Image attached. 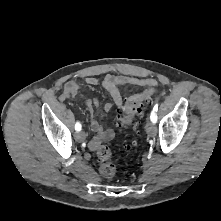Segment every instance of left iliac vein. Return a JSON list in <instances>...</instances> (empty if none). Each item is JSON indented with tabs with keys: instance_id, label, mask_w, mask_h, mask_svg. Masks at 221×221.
I'll return each instance as SVG.
<instances>
[{
	"instance_id": "1",
	"label": "left iliac vein",
	"mask_w": 221,
	"mask_h": 221,
	"mask_svg": "<svg viewBox=\"0 0 221 221\" xmlns=\"http://www.w3.org/2000/svg\"><path fill=\"white\" fill-rule=\"evenodd\" d=\"M146 132L149 136L154 137L157 133V128L153 122H147L146 124Z\"/></svg>"
}]
</instances>
